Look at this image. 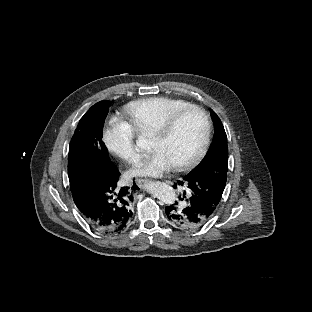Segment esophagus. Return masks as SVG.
Instances as JSON below:
<instances>
[{
	"label": "esophagus",
	"mask_w": 312,
	"mask_h": 312,
	"mask_svg": "<svg viewBox=\"0 0 312 312\" xmlns=\"http://www.w3.org/2000/svg\"><path fill=\"white\" fill-rule=\"evenodd\" d=\"M150 180L147 179V178H139V179H136V183L138 186H142L143 184H146L148 183Z\"/></svg>",
	"instance_id": "obj_1"
}]
</instances>
